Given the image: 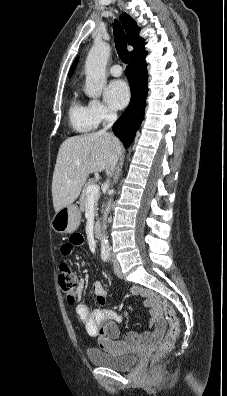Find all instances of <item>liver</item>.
<instances>
[{
  "label": "liver",
  "mask_w": 227,
  "mask_h": 396,
  "mask_svg": "<svg viewBox=\"0 0 227 396\" xmlns=\"http://www.w3.org/2000/svg\"><path fill=\"white\" fill-rule=\"evenodd\" d=\"M120 141L107 132L67 138L60 146L52 180L55 212L71 205L90 173L104 171L114 155L121 154Z\"/></svg>",
  "instance_id": "1"
}]
</instances>
